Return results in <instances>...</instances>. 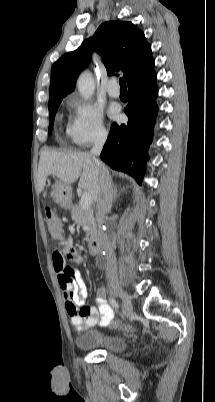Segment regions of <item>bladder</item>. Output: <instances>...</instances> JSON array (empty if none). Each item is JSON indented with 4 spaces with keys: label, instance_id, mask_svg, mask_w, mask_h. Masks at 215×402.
<instances>
[{
    "label": "bladder",
    "instance_id": "31cf9c89",
    "mask_svg": "<svg viewBox=\"0 0 215 402\" xmlns=\"http://www.w3.org/2000/svg\"><path fill=\"white\" fill-rule=\"evenodd\" d=\"M75 343L83 351H103L110 354L120 353L127 347L125 338L113 334H103L98 331H88L80 334L76 337Z\"/></svg>",
    "mask_w": 215,
    "mask_h": 402
}]
</instances>
